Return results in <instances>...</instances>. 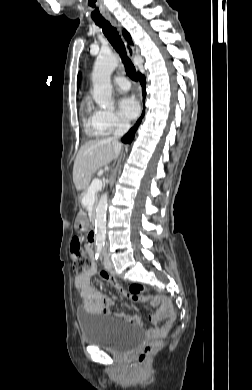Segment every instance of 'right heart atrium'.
<instances>
[{
  "label": "right heart atrium",
  "instance_id": "right-heart-atrium-1",
  "mask_svg": "<svg viewBox=\"0 0 252 390\" xmlns=\"http://www.w3.org/2000/svg\"><path fill=\"white\" fill-rule=\"evenodd\" d=\"M92 121L94 132L100 136L113 135L128 127V124L117 113L107 109L95 110Z\"/></svg>",
  "mask_w": 252,
  "mask_h": 390
}]
</instances>
